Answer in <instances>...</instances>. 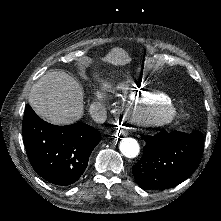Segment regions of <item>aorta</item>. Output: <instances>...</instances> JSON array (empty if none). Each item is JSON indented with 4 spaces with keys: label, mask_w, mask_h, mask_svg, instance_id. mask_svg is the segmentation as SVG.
<instances>
[{
    "label": "aorta",
    "mask_w": 221,
    "mask_h": 221,
    "mask_svg": "<svg viewBox=\"0 0 221 221\" xmlns=\"http://www.w3.org/2000/svg\"><path fill=\"white\" fill-rule=\"evenodd\" d=\"M119 149L121 153L128 158H135L140 152V147L137 140L131 137L121 139Z\"/></svg>",
    "instance_id": "762f6f07"
}]
</instances>
